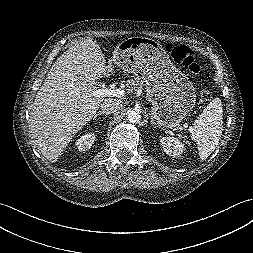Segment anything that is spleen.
<instances>
[{
    "mask_svg": "<svg viewBox=\"0 0 253 253\" xmlns=\"http://www.w3.org/2000/svg\"><path fill=\"white\" fill-rule=\"evenodd\" d=\"M223 131V109L219 98H214L198 116L192 128L199 157L205 160L215 150Z\"/></svg>",
    "mask_w": 253,
    "mask_h": 253,
    "instance_id": "spleen-1",
    "label": "spleen"
}]
</instances>
